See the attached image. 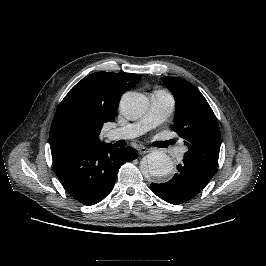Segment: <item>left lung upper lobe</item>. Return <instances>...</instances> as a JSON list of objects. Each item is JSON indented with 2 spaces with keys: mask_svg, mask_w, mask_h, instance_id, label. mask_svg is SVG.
<instances>
[{
  "mask_svg": "<svg viewBox=\"0 0 266 266\" xmlns=\"http://www.w3.org/2000/svg\"><path fill=\"white\" fill-rule=\"evenodd\" d=\"M163 82L176 98L174 131L188 147L184 160L215 174L221 133L214 112L192 83L177 77H163Z\"/></svg>",
  "mask_w": 266,
  "mask_h": 266,
  "instance_id": "obj_1",
  "label": "left lung upper lobe"
}]
</instances>
